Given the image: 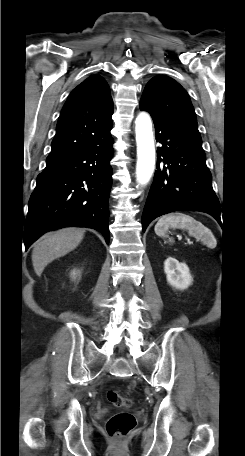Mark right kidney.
Segmentation results:
<instances>
[{"label":"right kidney","instance_id":"ca27d5eb","mask_svg":"<svg viewBox=\"0 0 245 456\" xmlns=\"http://www.w3.org/2000/svg\"><path fill=\"white\" fill-rule=\"evenodd\" d=\"M77 274V271L73 270V272L71 273V275H73V277Z\"/></svg>","mask_w":245,"mask_h":456}]
</instances>
